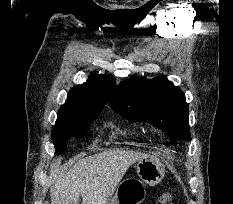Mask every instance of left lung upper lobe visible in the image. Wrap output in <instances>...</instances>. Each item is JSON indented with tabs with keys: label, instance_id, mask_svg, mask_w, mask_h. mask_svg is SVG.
I'll use <instances>...</instances> for the list:
<instances>
[{
	"label": "left lung upper lobe",
	"instance_id": "5c2ea615",
	"mask_svg": "<svg viewBox=\"0 0 233 204\" xmlns=\"http://www.w3.org/2000/svg\"><path fill=\"white\" fill-rule=\"evenodd\" d=\"M110 107L127 120L148 122L173 138H191L185 95L165 76L151 80L133 77L121 82Z\"/></svg>",
	"mask_w": 233,
	"mask_h": 204
}]
</instances>
